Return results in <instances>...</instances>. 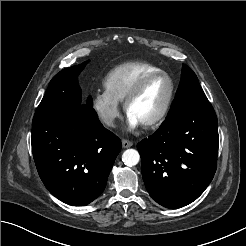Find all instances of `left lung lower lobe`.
Here are the masks:
<instances>
[{
    "instance_id": "left-lung-lower-lobe-1",
    "label": "left lung lower lobe",
    "mask_w": 246,
    "mask_h": 246,
    "mask_svg": "<svg viewBox=\"0 0 246 246\" xmlns=\"http://www.w3.org/2000/svg\"><path fill=\"white\" fill-rule=\"evenodd\" d=\"M218 142L217 117L209 101L166 118L137 145L150 196L166 208L196 200L215 174Z\"/></svg>"
}]
</instances>
